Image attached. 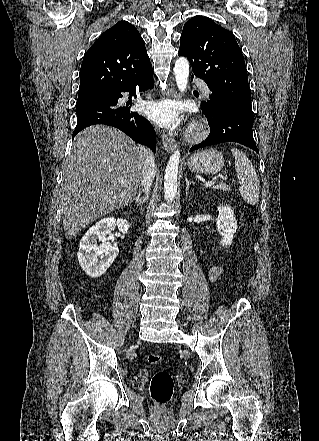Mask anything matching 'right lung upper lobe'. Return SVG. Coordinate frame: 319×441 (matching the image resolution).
I'll use <instances>...</instances> for the list:
<instances>
[{
    "label": "right lung upper lobe",
    "mask_w": 319,
    "mask_h": 441,
    "mask_svg": "<svg viewBox=\"0 0 319 441\" xmlns=\"http://www.w3.org/2000/svg\"><path fill=\"white\" fill-rule=\"evenodd\" d=\"M152 70L137 29L120 21L105 31L86 52L80 71L77 103L106 97Z\"/></svg>",
    "instance_id": "obj_1"
}]
</instances>
